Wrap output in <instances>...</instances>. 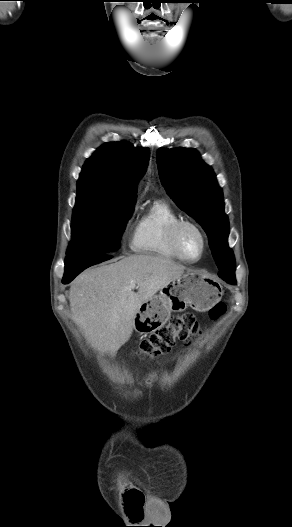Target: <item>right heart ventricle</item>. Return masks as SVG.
Masks as SVG:
<instances>
[{
	"label": "right heart ventricle",
	"instance_id": "e07e8e85",
	"mask_svg": "<svg viewBox=\"0 0 292 527\" xmlns=\"http://www.w3.org/2000/svg\"><path fill=\"white\" fill-rule=\"evenodd\" d=\"M180 214L164 200H158L137 219L132 249L137 253L179 259L170 243V231Z\"/></svg>",
	"mask_w": 292,
	"mask_h": 527
}]
</instances>
